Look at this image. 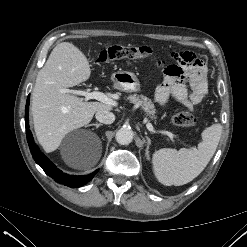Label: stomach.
Here are the masks:
<instances>
[{
    "instance_id": "1",
    "label": "stomach",
    "mask_w": 247,
    "mask_h": 247,
    "mask_svg": "<svg viewBox=\"0 0 247 247\" xmlns=\"http://www.w3.org/2000/svg\"><path fill=\"white\" fill-rule=\"evenodd\" d=\"M111 80L114 87L120 91L138 92L141 90L140 81L137 76L128 71H118L112 74Z\"/></svg>"
}]
</instances>
